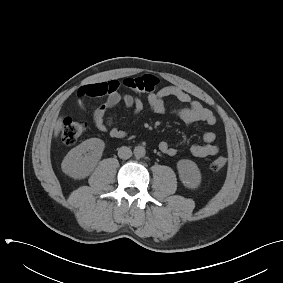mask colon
Masks as SVG:
<instances>
[{
  "label": "colon",
  "instance_id": "colon-1",
  "mask_svg": "<svg viewBox=\"0 0 283 283\" xmlns=\"http://www.w3.org/2000/svg\"><path fill=\"white\" fill-rule=\"evenodd\" d=\"M158 82L155 76L143 75L135 78H126L123 80L122 86L134 92L149 93L156 89ZM85 129L86 123L83 120L66 118L61 130L62 141L67 145L74 144L85 132ZM226 163V158L218 157L211 162L210 167L212 170L217 171L225 167Z\"/></svg>",
  "mask_w": 283,
  "mask_h": 283
}]
</instances>
